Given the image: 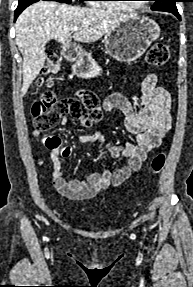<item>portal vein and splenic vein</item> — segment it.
Instances as JSON below:
<instances>
[{
	"mask_svg": "<svg viewBox=\"0 0 193 287\" xmlns=\"http://www.w3.org/2000/svg\"><path fill=\"white\" fill-rule=\"evenodd\" d=\"M77 30H78V27H72V28H71V31H72V32H75V31H77Z\"/></svg>",
	"mask_w": 193,
	"mask_h": 287,
	"instance_id": "1",
	"label": "portal vein and splenic vein"
}]
</instances>
